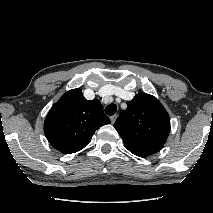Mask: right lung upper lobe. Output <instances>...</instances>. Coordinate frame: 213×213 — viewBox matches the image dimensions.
I'll use <instances>...</instances> for the list:
<instances>
[{
    "label": "right lung upper lobe",
    "mask_w": 213,
    "mask_h": 213,
    "mask_svg": "<svg viewBox=\"0 0 213 213\" xmlns=\"http://www.w3.org/2000/svg\"><path fill=\"white\" fill-rule=\"evenodd\" d=\"M109 123L99 100H86L80 89H73L52 106L44 132L55 149L71 154L88 145L95 130Z\"/></svg>",
    "instance_id": "right-lung-upper-lobe-1"
}]
</instances>
